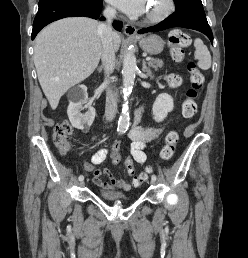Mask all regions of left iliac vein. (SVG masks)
Wrapping results in <instances>:
<instances>
[{
    "label": "left iliac vein",
    "instance_id": "left-iliac-vein-1",
    "mask_svg": "<svg viewBox=\"0 0 248 258\" xmlns=\"http://www.w3.org/2000/svg\"><path fill=\"white\" fill-rule=\"evenodd\" d=\"M150 184H151V185H154V184H155V180H152V179H151V180H150Z\"/></svg>",
    "mask_w": 248,
    "mask_h": 258
}]
</instances>
